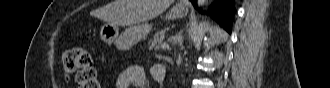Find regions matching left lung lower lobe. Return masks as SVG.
Returning a JSON list of instances; mask_svg holds the SVG:
<instances>
[{"label":"left lung lower lobe","instance_id":"0a47b994","mask_svg":"<svg viewBox=\"0 0 330 88\" xmlns=\"http://www.w3.org/2000/svg\"><path fill=\"white\" fill-rule=\"evenodd\" d=\"M197 8L196 0H190ZM235 13L232 0H216L211 8L210 15L216 19L229 33L233 14Z\"/></svg>","mask_w":330,"mask_h":88}]
</instances>
